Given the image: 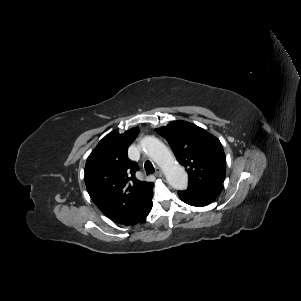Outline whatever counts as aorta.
Listing matches in <instances>:
<instances>
[{
	"instance_id": "obj_1",
	"label": "aorta",
	"mask_w": 301,
	"mask_h": 301,
	"mask_svg": "<svg viewBox=\"0 0 301 301\" xmlns=\"http://www.w3.org/2000/svg\"><path fill=\"white\" fill-rule=\"evenodd\" d=\"M143 151L164 171L168 183L177 190L188 186V175L179 165L168 148L157 138L146 136L141 140Z\"/></svg>"
}]
</instances>
